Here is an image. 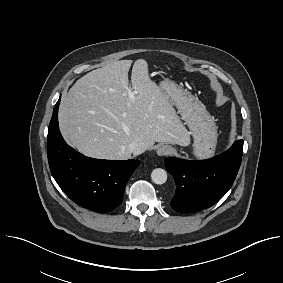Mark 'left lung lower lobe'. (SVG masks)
<instances>
[{
	"label": "left lung lower lobe",
	"mask_w": 283,
	"mask_h": 283,
	"mask_svg": "<svg viewBox=\"0 0 283 283\" xmlns=\"http://www.w3.org/2000/svg\"><path fill=\"white\" fill-rule=\"evenodd\" d=\"M243 154V140L208 160H165L167 171L176 183L170 204L179 213H192L217 203L231 188Z\"/></svg>",
	"instance_id": "0a47b994"
}]
</instances>
